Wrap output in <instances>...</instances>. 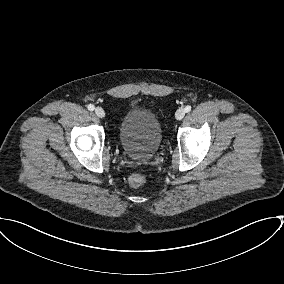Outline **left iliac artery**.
Returning a JSON list of instances; mask_svg holds the SVG:
<instances>
[{"label": "left iliac artery", "mask_w": 284, "mask_h": 284, "mask_svg": "<svg viewBox=\"0 0 284 284\" xmlns=\"http://www.w3.org/2000/svg\"><path fill=\"white\" fill-rule=\"evenodd\" d=\"M184 110H185L186 113L190 112L191 111V106L187 105Z\"/></svg>", "instance_id": "obj_1"}]
</instances>
